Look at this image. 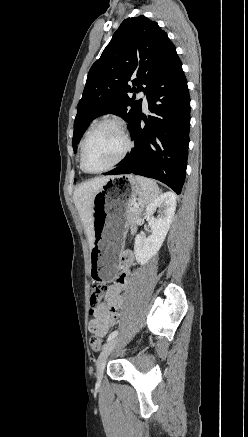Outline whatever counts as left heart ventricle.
<instances>
[{
    "label": "left heart ventricle",
    "mask_w": 248,
    "mask_h": 437,
    "mask_svg": "<svg viewBox=\"0 0 248 437\" xmlns=\"http://www.w3.org/2000/svg\"><path fill=\"white\" fill-rule=\"evenodd\" d=\"M125 148L121 132L113 126L99 129L88 141L85 164L91 171L101 170L113 163Z\"/></svg>",
    "instance_id": "b2bd125f"
}]
</instances>
